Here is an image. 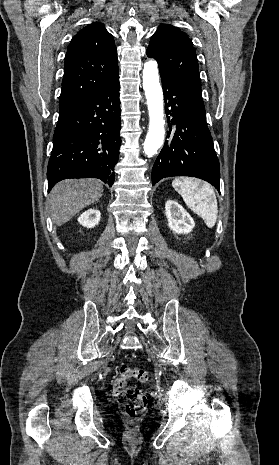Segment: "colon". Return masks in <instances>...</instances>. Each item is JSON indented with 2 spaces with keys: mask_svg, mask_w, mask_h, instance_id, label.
Listing matches in <instances>:
<instances>
[{
  "mask_svg": "<svg viewBox=\"0 0 279 465\" xmlns=\"http://www.w3.org/2000/svg\"><path fill=\"white\" fill-rule=\"evenodd\" d=\"M147 378L146 370L122 364L119 368V375L114 380V394L120 410L131 419L136 418L146 409L147 398L139 388L130 386L128 381L135 379L139 382H145Z\"/></svg>",
  "mask_w": 279,
  "mask_h": 465,
  "instance_id": "obj_1",
  "label": "colon"
}]
</instances>
